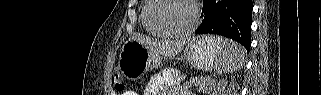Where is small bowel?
Returning <instances> with one entry per match:
<instances>
[{
  "mask_svg": "<svg viewBox=\"0 0 321 95\" xmlns=\"http://www.w3.org/2000/svg\"><path fill=\"white\" fill-rule=\"evenodd\" d=\"M153 85H154L153 83H151V84L149 85L147 94H148V95H163V93H159V92H155V93H154V92L151 90V87H152ZM124 95H136V94L133 93V92H125ZM188 95H191V93H189Z\"/></svg>",
  "mask_w": 321,
  "mask_h": 95,
  "instance_id": "obj_1",
  "label": "small bowel"
}]
</instances>
